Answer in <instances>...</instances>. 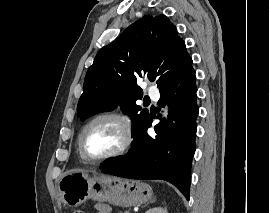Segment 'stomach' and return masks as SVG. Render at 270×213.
Returning <instances> with one entry per match:
<instances>
[{
    "label": "stomach",
    "mask_w": 270,
    "mask_h": 213,
    "mask_svg": "<svg viewBox=\"0 0 270 213\" xmlns=\"http://www.w3.org/2000/svg\"><path fill=\"white\" fill-rule=\"evenodd\" d=\"M58 191L60 201L69 207H77L87 199L130 207L151 201L153 194L144 182L83 170L64 173L58 182Z\"/></svg>",
    "instance_id": "0dacf381"
}]
</instances>
